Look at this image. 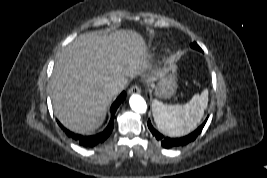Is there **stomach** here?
I'll list each match as a JSON object with an SVG mask.
<instances>
[{"mask_svg": "<svg viewBox=\"0 0 267 178\" xmlns=\"http://www.w3.org/2000/svg\"><path fill=\"white\" fill-rule=\"evenodd\" d=\"M176 70V65L171 63L166 74L159 78L156 84H151L156 96L160 98H170L175 94L177 88Z\"/></svg>", "mask_w": 267, "mask_h": 178, "instance_id": "obj_1", "label": "stomach"}]
</instances>
